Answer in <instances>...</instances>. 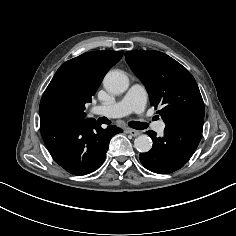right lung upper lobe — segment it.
Instances as JSON below:
<instances>
[{
    "label": "right lung upper lobe",
    "mask_w": 236,
    "mask_h": 236,
    "mask_svg": "<svg viewBox=\"0 0 236 236\" xmlns=\"http://www.w3.org/2000/svg\"><path fill=\"white\" fill-rule=\"evenodd\" d=\"M123 56V51H97L84 53L63 63L46 88L39 107V113L52 111L54 98L71 95L79 100L81 108L69 117L83 120L85 103L91 102L105 73ZM90 119V118H89Z\"/></svg>",
    "instance_id": "right-lung-upper-lobe-1"
}]
</instances>
